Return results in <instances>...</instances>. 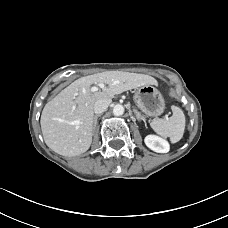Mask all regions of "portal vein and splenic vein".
Here are the masks:
<instances>
[{
	"mask_svg": "<svg viewBox=\"0 0 228 228\" xmlns=\"http://www.w3.org/2000/svg\"><path fill=\"white\" fill-rule=\"evenodd\" d=\"M99 87H100V88H104V84H103V83H99L98 86H93V87L91 88V92H96V91H98Z\"/></svg>",
	"mask_w": 228,
	"mask_h": 228,
	"instance_id": "1",
	"label": "portal vein and splenic vein"
}]
</instances>
